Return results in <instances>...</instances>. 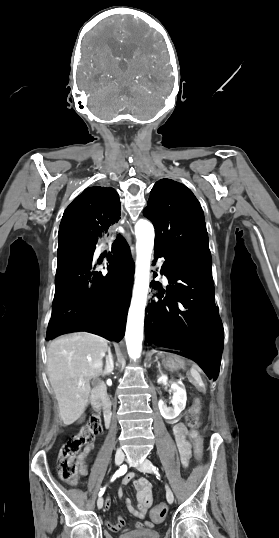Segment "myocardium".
I'll list each match as a JSON object with an SVG mask.
<instances>
[{
	"mask_svg": "<svg viewBox=\"0 0 279 538\" xmlns=\"http://www.w3.org/2000/svg\"><path fill=\"white\" fill-rule=\"evenodd\" d=\"M106 234H107V231H105L104 233H102L101 235H99V237H98V239H97V240H98V243H100L101 241L104 240Z\"/></svg>",
	"mask_w": 279,
	"mask_h": 538,
	"instance_id": "f54148a6",
	"label": "myocardium"
}]
</instances>
